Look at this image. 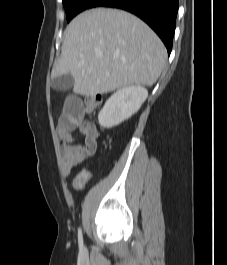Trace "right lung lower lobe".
<instances>
[{
    "label": "right lung lower lobe",
    "instance_id": "1",
    "mask_svg": "<svg viewBox=\"0 0 227 265\" xmlns=\"http://www.w3.org/2000/svg\"><path fill=\"white\" fill-rule=\"evenodd\" d=\"M99 6L135 14L157 33L171 53L179 0H94L88 8Z\"/></svg>",
    "mask_w": 227,
    "mask_h": 265
}]
</instances>
